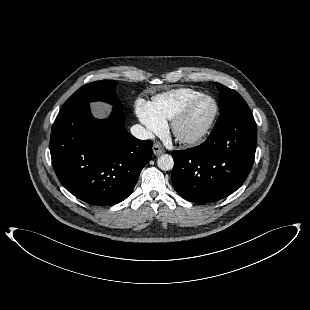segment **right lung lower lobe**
I'll return each mask as SVG.
<instances>
[{"mask_svg":"<svg viewBox=\"0 0 310 310\" xmlns=\"http://www.w3.org/2000/svg\"><path fill=\"white\" fill-rule=\"evenodd\" d=\"M121 109L95 119L89 103L61 109L51 131L50 153L61 184L78 199L99 206L126 199L143 167L152 157L153 143L128 133Z\"/></svg>","mask_w":310,"mask_h":310,"instance_id":"1","label":"right lung lower lobe"}]
</instances>
